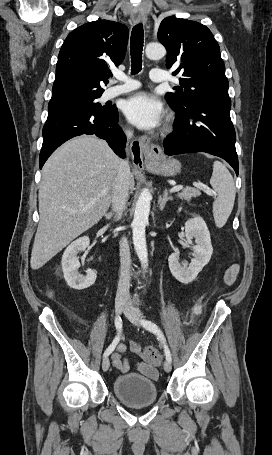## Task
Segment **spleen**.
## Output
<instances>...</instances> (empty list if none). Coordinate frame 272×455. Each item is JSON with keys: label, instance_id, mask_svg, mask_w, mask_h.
<instances>
[{"label": "spleen", "instance_id": "1", "mask_svg": "<svg viewBox=\"0 0 272 455\" xmlns=\"http://www.w3.org/2000/svg\"><path fill=\"white\" fill-rule=\"evenodd\" d=\"M210 184L218 195L213 202V216L216 226L221 228L232 212L236 189L232 175L220 161H215L213 164Z\"/></svg>", "mask_w": 272, "mask_h": 455}]
</instances>
